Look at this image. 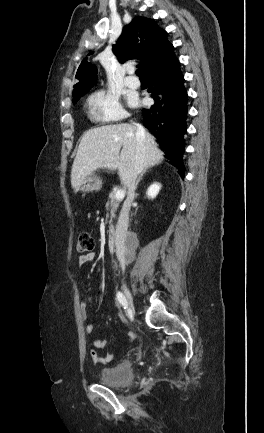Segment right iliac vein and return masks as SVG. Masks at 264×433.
<instances>
[{"mask_svg":"<svg viewBox=\"0 0 264 433\" xmlns=\"http://www.w3.org/2000/svg\"><path fill=\"white\" fill-rule=\"evenodd\" d=\"M124 294L126 297L127 304L129 305L130 312L134 313L133 297H132L131 291L128 289V287L126 285H124Z\"/></svg>","mask_w":264,"mask_h":433,"instance_id":"63e3f726","label":"right iliac vein"}]
</instances>
